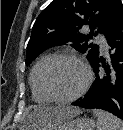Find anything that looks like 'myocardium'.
<instances>
[{
    "instance_id": "f54148a6",
    "label": "myocardium",
    "mask_w": 123,
    "mask_h": 130,
    "mask_svg": "<svg viewBox=\"0 0 123 130\" xmlns=\"http://www.w3.org/2000/svg\"><path fill=\"white\" fill-rule=\"evenodd\" d=\"M63 60L75 61L83 68V70L86 74V79H85V82H84L83 86L81 87V89L70 97L59 96L55 92V90L53 89L52 84H51L52 71H53L54 67L60 61H63ZM92 79H93V76H92V72H91L90 68L80 57H78L77 55L72 54V53H60V54L54 55L51 58V60L48 62V64L46 65V67L43 71V75H42V84H43V89H44L45 93L48 95V97L52 101H55L58 103H71V102L78 100L80 97H82L86 93V91L89 89V87L92 83Z\"/></svg>"
}]
</instances>
